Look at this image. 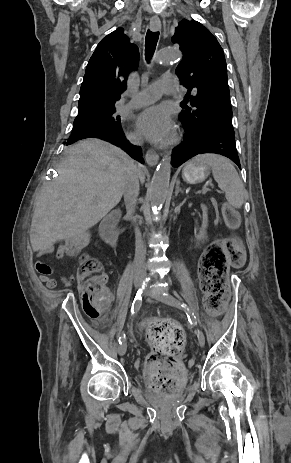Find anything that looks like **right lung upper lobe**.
<instances>
[{
	"label": "right lung upper lobe",
	"mask_w": 291,
	"mask_h": 463,
	"mask_svg": "<svg viewBox=\"0 0 291 463\" xmlns=\"http://www.w3.org/2000/svg\"><path fill=\"white\" fill-rule=\"evenodd\" d=\"M138 63V47L130 43L123 28L104 37L86 67L77 117L115 107V102L126 89L128 74L138 67Z\"/></svg>",
	"instance_id": "right-lung-upper-lobe-1"
}]
</instances>
